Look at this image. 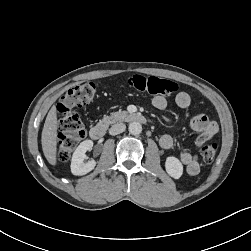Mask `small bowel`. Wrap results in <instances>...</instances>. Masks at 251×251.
Masks as SVG:
<instances>
[{"mask_svg":"<svg viewBox=\"0 0 251 251\" xmlns=\"http://www.w3.org/2000/svg\"><path fill=\"white\" fill-rule=\"evenodd\" d=\"M175 102L180 108H187L191 103L190 95L181 91L176 95ZM167 100L163 96H156L152 100V105L158 110H164L167 107ZM191 128L199 134L196 140V146L201 147L206 141L212 139L218 131L217 124L209 120L204 114H196L190 120ZM160 146L164 149L173 147L174 141L170 135H163L160 138ZM180 161L185 166L186 172L190 176L199 173V162L194 154L189 150H182L180 153Z\"/></svg>","mask_w":251,"mask_h":251,"instance_id":"small-bowel-1","label":"small bowel"}]
</instances>
